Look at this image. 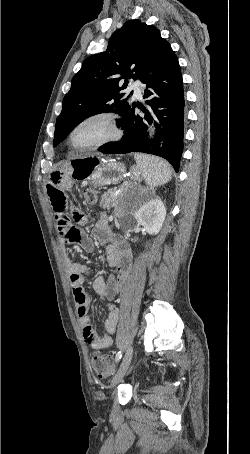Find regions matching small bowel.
<instances>
[{
  "label": "small bowel",
  "instance_id": "1",
  "mask_svg": "<svg viewBox=\"0 0 250 454\" xmlns=\"http://www.w3.org/2000/svg\"><path fill=\"white\" fill-rule=\"evenodd\" d=\"M46 188L63 241L78 243L86 252H92L94 250L92 238L75 225V223L85 222L81 211L72 205L74 192L78 188L76 181L69 175L53 173ZM69 212L72 213V217ZM94 237L99 242H109L105 249L106 259L108 265L116 270L115 276L105 278L100 275L93 282L95 293L101 297L108 308V316L105 321L107 333L104 336H98L88 316L89 298L84 288V280L90 275V268L70 260L66 261V265L83 337L94 350L100 351L113 345V335L119 319V310L115 302L126 281L131 265V254L128 246L120 237L110 234L104 220H101L94 228Z\"/></svg>",
  "mask_w": 250,
  "mask_h": 454
}]
</instances>
